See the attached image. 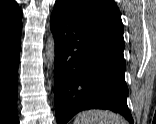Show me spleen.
<instances>
[{
    "label": "spleen",
    "instance_id": "obj_1",
    "mask_svg": "<svg viewBox=\"0 0 156 124\" xmlns=\"http://www.w3.org/2000/svg\"><path fill=\"white\" fill-rule=\"evenodd\" d=\"M73 124H127V122L110 111L89 110L79 113Z\"/></svg>",
    "mask_w": 156,
    "mask_h": 124
}]
</instances>
